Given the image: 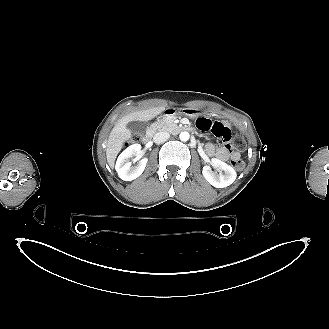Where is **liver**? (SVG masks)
I'll use <instances>...</instances> for the list:
<instances>
[{
  "mask_svg": "<svg viewBox=\"0 0 329 329\" xmlns=\"http://www.w3.org/2000/svg\"><path fill=\"white\" fill-rule=\"evenodd\" d=\"M164 110V106L153 107L146 110L129 113L118 120L110 132L106 148L107 162L111 168H114L116 157L123 144L132 136L131 131L127 128V124L130 121L135 120L148 122Z\"/></svg>",
  "mask_w": 329,
  "mask_h": 329,
  "instance_id": "6515ba94",
  "label": "liver"
}]
</instances>
